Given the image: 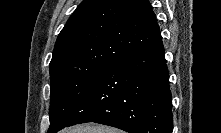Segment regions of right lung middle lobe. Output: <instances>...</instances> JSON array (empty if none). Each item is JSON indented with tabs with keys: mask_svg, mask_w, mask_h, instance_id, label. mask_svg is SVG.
<instances>
[{
	"mask_svg": "<svg viewBox=\"0 0 221 133\" xmlns=\"http://www.w3.org/2000/svg\"><path fill=\"white\" fill-rule=\"evenodd\" d=\"M111 65L64 68L50 74L51 102L48 133L66 127L89 99L104 71Z\"/></svg>",
	"mask_w": 221,
	"mask_h": 133,
	"instance_id": "right-lung-middle-lobe-1",
	"label": "right lung middle lobe"
}]
</instances>
